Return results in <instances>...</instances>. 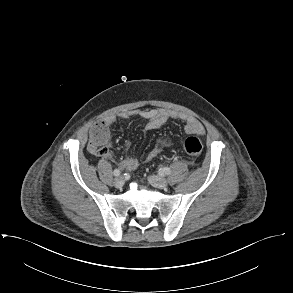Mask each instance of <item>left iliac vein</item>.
<instances>
[{
	"label": "left iliac vein",
	"mask_w": 293,
	"mask_h": 293,
	"mask_svg": "<svg viewBox=\"0 0 293 293\" xmlns=\"http://www.w3.org/2000/svg\"><path fill=\"white\" fill-rule=\"evenodd\" d=\"M147 180L153 187L158 189H165L168 186L167 180L160 176L152 175Z\"/></svg>",
	"instance_id": "4c4485c4"
}]
</instances>
